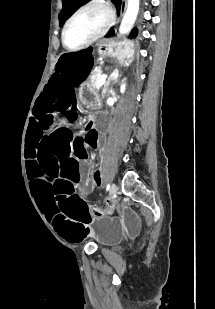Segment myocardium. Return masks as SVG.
I'll use <instances>...</instances> for the list:
<instances>
[{"label": "myocardium", "mask_w": 215, "mask_h": 309, "mask_svg": "<svg viewBox=\"0 0 215 309\" xmlns=\"http://www.w3.org/2000/svg\"><path fill=\"white\" fill-rule=\"evenodd\" d=\"M86 13H95L100 15L101 19L96 31L90 35L86 40L81 42L78 45H69L66 41V36L69 27L71 24L81 15ZM114 16L113 10L108 9L103 5H87L80 9H78L64 24L62 32H61V41L64 48H87L93 42L98 40L99 38H103L106 30H110L111 26L114 24L112 17Z\"/></svg>", "instance_id": "myocardium-1"}]
</instances>
